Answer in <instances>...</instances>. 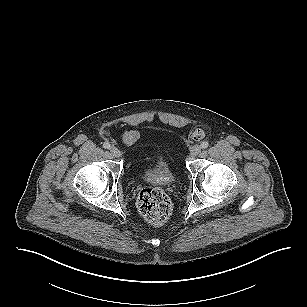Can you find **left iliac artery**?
<instances>
[{"label": "left iliac artery", "instance_id": "left-iliac-artery-1", "mask_svg": "<svg viewBox=\"0 0 307 307\" xmlns=\"http://www.w3.org/2000/svg\"><path fill=\"white\" fill-rule=\"evenodd\" d=\"M209 146V143H208V141H203L202 143H201V148H207Z\"/></svg>", "mask_w": 307, "mask_h": 307}]
</instances>
